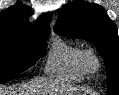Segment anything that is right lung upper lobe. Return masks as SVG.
Masks as SVG:
<instances>
[{"label": "right lung upper lobe", "instance_id": "cb5924a9", "mask_svg": "<svg viewBox=\"0 0 119 95\" xmlns=\"http://www.w3.org/2000/svg\"><path fill=\"white\" fill-rule=\"evenodd\" d=\"M29 10L21 3H17L0 13V35H12L18 32H44L50 31L49 23L52 19L51 13L43 14L35 21L32 28L24 18L28 17Z\"/></svg>", "mask_w": 119, "mask_h": 95}]
</instances>
